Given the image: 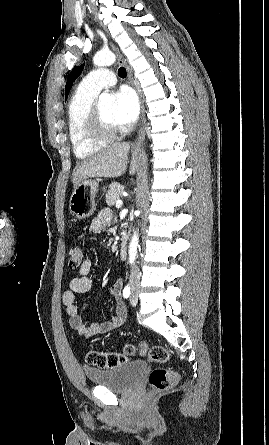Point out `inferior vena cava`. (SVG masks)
I'll return each instance as SVG.
<instances>
[{
  "mask_svg": "<svg viewBox=\"0 0 269 445\" xmlns=\"http://www.w3.org/2000/svg\"><path fill=\"white\" fill-rule=\"evenodd\" d=\"M140 276H141V273L139 271V268L136 265H133L131 274H130V280L131 281L139 280Z\"/></svg>",
  "mask_w": 269,
  "mask_h": 445,
  "instance_id": "inferior-vena-cava-1",
  "label": "inferior vena cava"
}]
</instances>
